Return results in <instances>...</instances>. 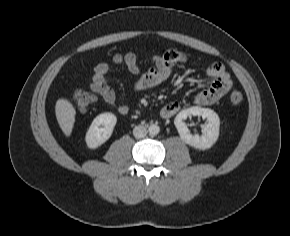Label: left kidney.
I'll return each instance as SVG.
<instances>
[{"instance_id": "left-kidney-1", "label": "left kidney", "mask_w": 290, "mask_h": 236, "mask_svg": "<svg viewBox=\"0 0 290 236\" xmlns=\"http://www.w3.org/2000/svg\"><path fill=\"white\" fill-rule=\"evenodd\" d=\"M190 116H201L203 119H207V123L202 128V135L189 132L184 120ZM174 124L178 130L180 138L189 146L205 150L209 149L218 139L220 119L219 116L209 108H201L193 106L188 109L182 110L177 114Z\"/></svg>"}]
</instances>
